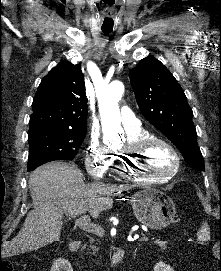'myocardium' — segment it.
Returning a JSON list of instances; mask_svg holds the SVG:
<instances>
[{
  "label": "myocardium",
  "mask_w": 221,
  "mask_h": 271,
  "mask_svg": "<svg viewBox=\"0 0 221 271\" xmlns=\"http://www.w3.org/2000/svg\"><path fill=\"white\" fill-rule=\"evenodd\" d=\"M167 137H150V138H139V140H135V145H125V150H130L129 154L135 156L132 158H119L118 161H113V166H115V170L124 174L125 178H156L162 177L163 175H177L179 177V165H177L178 156H174L175 151L174 145H169L167 142ZM148 150H150L148 152ZM152 150H165V156L170 158L168 160V164L165 162L163 165L158 167L157 165L154 167L155 170L151 169L152 167L149 165L147 168L144 165H141V157L152 155L154 152ZM138 156V157H137ZM168 165V166H167ZM160 168V170H158ZM164 169V170H163ZM172 170H174L172 172ZM118 178L121 176L119 173L116 175ZM153 184H163V183H153Z\"/></svg>",
  "instance_id": "f54148a6"
}]
</instances>
